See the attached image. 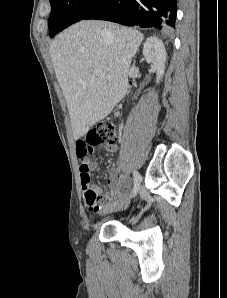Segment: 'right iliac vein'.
Here are the masks:
<instances>
[{
	"label": "right iliac vein",
	"mask_w": 227,
	"mask_h": 298,
	"mask_svg": "<svg viewBox=\"0 0 227 298\" xmlns=\"http://www.w3.org/2000/svg\"><path fill=\"white\" fill-rule=\"evenodd\" d=\"M130 201L129 200H120L115 201L113 203L108 204L104 209L103 213H112L117 212L126 209L129 206Z\"/></svg>",
	"instance_id": "right-iliac-vein-1"
}]
</instances>
